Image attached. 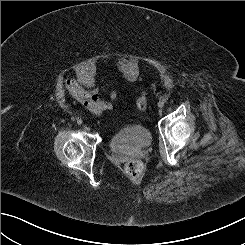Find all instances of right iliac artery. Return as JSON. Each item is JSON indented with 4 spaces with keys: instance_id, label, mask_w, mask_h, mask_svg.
<instances>
[{
    "instance_id": "82829eb1",
    "label": "right iliac artery",
    "mask_w": 245,
    "mask_h": 245,
    "mask_svg": "<svg viewBox=\"0 0 245 245\" xmlns=\"http://www.w3.org/2000/svg\"><path fill=\"white\" fill-rule=\"evenodd\" d=\"M71 120H72V121H75V120H76V118H75L74 116H72V117H71Z\"/></svg>"
}]
</instances>
